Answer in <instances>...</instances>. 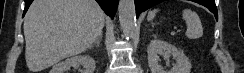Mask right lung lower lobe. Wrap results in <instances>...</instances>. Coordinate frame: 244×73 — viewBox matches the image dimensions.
<instances>
[{
  "label": "right lung lower lobe",
  "mask_w": 244,
  "mask_h": 73,
  "mask_svg": "<svg viewBox=\"0 0 244 73\" xmlns=\"http://www.w3.org/2000/svg\"><path fill=\"white\" fill-rule=\"evenodd\" d=\"M24 1H25V9H24L23 16L27 12L33 0H24ZM96 1L99 3L101 8L105 11L107 15H109L111 18L114 17L119 0H96Z\"/></svg>",
  "instance_id": "98d812e1"
}]
</instances>
